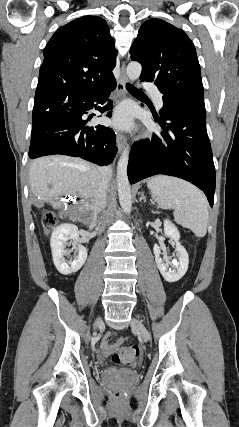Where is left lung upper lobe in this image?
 Masks as SVG:
<instances>
[{
	"label": "left lung upper lobe",
	"mask_w": 239,
	"mask_h": 427,
	"mask_svg": "<svg viewBox=\"0 0 239 427\" xmlns=\"http://www.w3.org/2000/svg\"><path fill=\"white\" fill-rule=\"evenodd\" d=\"M130 54L142 65L141 80L154 81L166 96L205 108L200 65L185 32L152 18L141 25Z\"/></svg>",
	"instance_id": "1"
}]
</instances>
